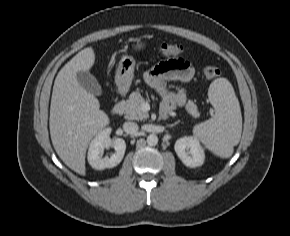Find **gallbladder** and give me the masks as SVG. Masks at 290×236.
<instances>
[{"mask_svg": "<svg viewBox=\"0 0 290 236\" xmlns=\"http://www.w3.org/2000/svg\"><path fill=\"white\" fill-rule=\"evenodd\" d=\"M78 83L91 94L100 96L102 95V89L97 79L89 72L80 71L77 73Z\"/></svg>", "mask_w": 290, "mask_h": 236, "instance_id": "obj_1", "label": "gallbladder"}]
</instances>
